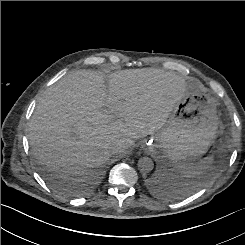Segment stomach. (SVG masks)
Segmentation results:
<instances>
[{
    "instance_id": "1",
    "label": "stomach",
    "mask_w": 245,
    "mask_h": 245,
    "mask_svg": "<svg viewBox=\"0 0 245 245\" xmlns=\"http://www.w3.org/2000/svg\"><path fill=\"white\" fill-rule=\"evenodd\" d=\"M219 128L217 100L188 83L185 96L152 140L171 161L190 163L208 151Z\"/></svg>"
}]
</instances>
